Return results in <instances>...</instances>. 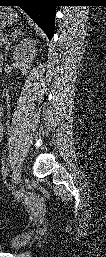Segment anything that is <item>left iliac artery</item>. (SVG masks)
I'll list each match as a JSON object with an SVG mask.
<instances>
[{"label": "left iliac artery", "mask_w": 106, "mask_h": 257, "mask_svg": "<svg viewBox=\"0 0 106 257\" xmlns=\"http://www.w3.org/2000/svg\"><path fill=\"white\" fill-rule=\"evenodd\" d=\"M8 172H9V168L8 166L6 167L5 171H4V177H6L8 175Z\"/></svg>", "instance_id": "left-iliac-artery-1"}]
</instances>
